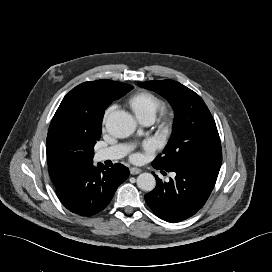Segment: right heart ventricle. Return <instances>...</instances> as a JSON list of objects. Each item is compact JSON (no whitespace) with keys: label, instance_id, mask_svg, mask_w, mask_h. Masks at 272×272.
Returning <instances> with one entry per match:
<instances>
[{"label":"right heart ventricle","instance_id":"right-heart-ventricle-1","mask_svg":"<svg viewBox=\"0 0 272 272\" xmlns=\"http://www.w3.org/2000/svg\"><path fill=\"white\" fill-rule=\"evenodd\" d=\"M128 104L139 121H153L162 106L161 99L152 92L140 91L134 94Z\"/></svg>","mask_w":272,"mask_h":272}]
</instances>
